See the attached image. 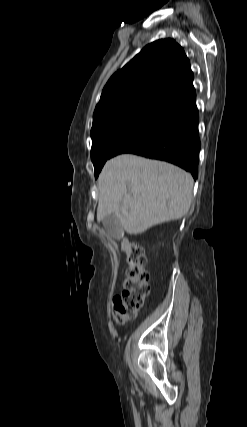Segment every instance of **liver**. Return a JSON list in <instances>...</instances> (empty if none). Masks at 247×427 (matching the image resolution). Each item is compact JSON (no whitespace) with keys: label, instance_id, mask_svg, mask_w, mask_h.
I'll return each mask as SVG.
<instances>
[{"label":"liver","instance_id":"liver-1","mask_svg":"<svg viewBox=\"0 0 247 427\" xmlns=\"http://www.w3.org/2000/svg\"><path fill=\"white\" fill-rule=\"evenodd\" d=\"M98 187L97 220L114 213L124 230L136 235L186 215L193 178L172 164L122 154L105 163Z\"/></svg>","mask_w":247,"mask_h":427}]
</instances>
